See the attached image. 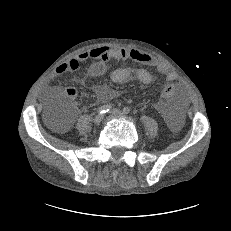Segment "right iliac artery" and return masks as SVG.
Masks as SVG:
<instances>
[{"label": "right iliac artery", "instance_id": "right-iliac-artery-1", "mask_svg": "<svg viewBox=\"0 0 231 231\" xmlns=\"http://www.w3.org/2000/svg\"><path fill=\"white\" fill-rule=\"evenodd\" d=\"M112 108L111 104H106L98 108L97 113L103 114L108 112Z\"/></svg>", "mask_w": 231, "mask_h": 231}]
</instances>
